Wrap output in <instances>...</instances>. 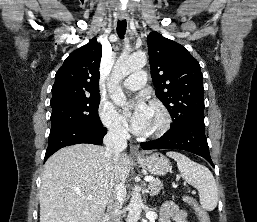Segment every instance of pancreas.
Masks as SVG:
<instances>
[{
    "label": "pancreas",
    "mask_w": 257,
    "mask_h": 222,
    "mask_svg": "<svg viewBox=\"0 0 257 222\" xmlns=\"http://www.w3.org/2000/svg\"><path fill=\"white\" fill-rule=\"evenodd\" d=\"M149 189H150L151 195H157L162 189V184L160 181L155 180L153 182H150Z\"/></svg>",
    "instance_id": "pancreas-1"
}]
</instances>
